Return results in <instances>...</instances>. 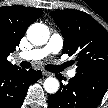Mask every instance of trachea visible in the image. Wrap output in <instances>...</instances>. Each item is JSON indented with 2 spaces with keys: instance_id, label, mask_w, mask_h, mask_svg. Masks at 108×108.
<instances>
[{
  "instance_id": "1",
  "label": "trachea",
  "mask_w": 108,
  "mask_h": 108,
  "mask_svg": "<svg viewBox=\"0 0 108 108\" xmlns=\"http://www.w3.org/2000/svg\"><path fill=\"white\" fill-rule=\"evenodd\" d=\"M20 66L22 68H30L31 67V63L27 62V61H22L20 63ZM66 68V65H45V69L50 71V72H61Z\"/></svg>"
}]
</instances>
